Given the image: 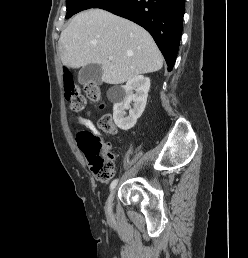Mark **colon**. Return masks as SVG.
<instances>
[{"label":"colon","mask_w":248,"mask_h":258,"mask_svg":"<svg viewBox=\"0 0 248 258\" xmlns=\"http://www.w3.org/2000/svg\"><path fill=\"white\" fill-rule=\"evenodd\" d=\"M85 91L91 101H101V90L98 84L88 82L85 86ZM65 95L70 101L73 111L81 112L84 109L85 98L81 89L69 77L66 78ZM99 126L102 131L110 134L115 133L117 130L114 120L109 114H105L100 118ZM76 143L97 179L107 182L115 176L116 169L111 146L104 142L96 132L88 129L79 131L76 135Z\"/></svg>","instance_id":"colon-1"}]
</instances>
